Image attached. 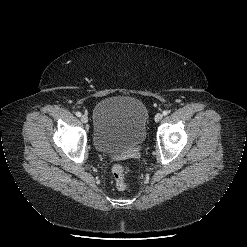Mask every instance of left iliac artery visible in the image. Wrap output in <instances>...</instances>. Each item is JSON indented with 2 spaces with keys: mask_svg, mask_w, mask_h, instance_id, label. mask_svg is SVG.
<instances>
[{
  "mask_svg": "<svg viewBox=\"0 0 247 247\" xmlns=\"http://www.w3.org/2000/svg\"><path fill=\"white\" fill-rule=\"evenodd\" d=\"M168 113H169V112H168L167 110H164L162 114H163L164 116H166Z\"/></svg>",
  "mask_w": 247,
  "mask_h": 247,
  "instance_id": "obj_1",
  "label": "left iliac artery"
}]
</instances>
